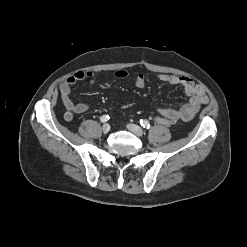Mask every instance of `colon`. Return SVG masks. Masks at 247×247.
I'll return each instance as SVG.
<instances>
[{"label":"colon","mask_w":247,"mask_h":247,"mask_svg":"<svg viewBox=\"0 0 247 247\" xmlns=\"http://www.w3.org/2000/svg\"><path fill=\"white\" fill-rule=\"evenodd\" d=\"M154 121L162 126H166V127H171L174 124V121L170 118L167 117H163V116H156L154 118Z\"/></svg>","instance_id":"1"}]
</instances>
